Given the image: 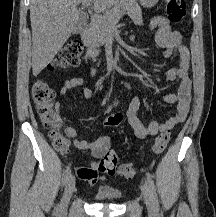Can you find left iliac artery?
I'll list each match as a JSON object with an SVG mask.
<instances>
[{
    "label": "left iliac artery",
    "instance_id": "1",
    "mask_svg": "<svg viewBox=\"0 0 216 217\" xmlns=\"http://www.w3.org/2000/svg\"><path fill=\"white\" fill-rule=\"evenodd\" d=\"M146 175H147V183L149 185L150 194H151L154 206H155V208H158L159 207V202H158V197H157L154 182H153L152 177H151V175L149 173H147Z\"/></svg>",
    "mask_w": 216,
    "mask_h": 217
}]
</instances>
